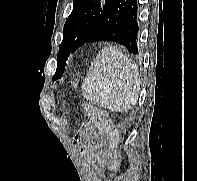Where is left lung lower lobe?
<instances>
[{
	"instance_id": "1",
	"label": "left lung lower lobe",
	"mask_w": 197,
	"mask_h": 181,
	"mask_svg": "<svg viewBox=\"0 0 197 181\" xmlns=\"http://www.w3.org/2000/svg\"><path fill=\"white\" fill-rule=\"evenodd\" d=\"M138 31L137 0H113L89 42H116L130 53L138 54Z\"/></svg>"
}]
</instances>
